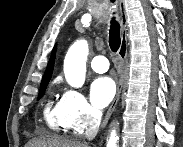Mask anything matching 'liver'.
<instances>
[{"label": "liver", "instance_id": "liver-1", "mask_svg": "<svg viewBox=\"0 0 183 147\" xmlns=\"http://www.w3.org/2000/svg\"><path fill=\"white\" fill-rule=\"evenodd\" d=\"M26 147H87L86 144L61 138L41 137L33 139L26 144Z\"/></svg>", "mask_w": 183, "mask_h": 147}]
</instances>
